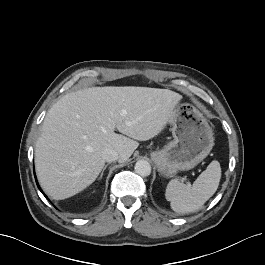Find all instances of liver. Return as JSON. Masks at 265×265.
Segmentation results:
<instances>
[{
    "label": "liver",
    "instance_id": "1",
    "mask_svg": "<svg viewBox=\"0 0 265 265\" xmlns=\"http://www.w3.org/2000/svg\"><path fill=\"white\" fill-rule=\"evenodd\" d=\"M182 96L149 87H91L63 96L48 111L35 144V169L53 199L74 196L104 168L114 149L125 162L170 122ZM118 130L121 134L115 133Z\"/></svg>",
    "mask_w": 265,
    "mask_h": 265
}]
</instances>
